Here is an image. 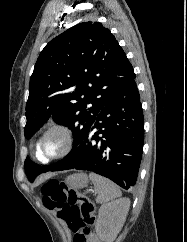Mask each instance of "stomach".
Masks as SVG:
<instances>
[{"instance_id": "1", "label": "stomach", "mask_w": 187, "mask_h": 242, "mask_svg": "<svg viewBox=\"0 0 187 242\" xmlns=\"http://www.w3.org/2000/svg\"><path fill=\"white\" fill-rule=\"evenodd\" d=\"M65 183L73 189H81L87 186L88 176L84 173H77L66 178Z\"/></svg>"}]
</instances>
